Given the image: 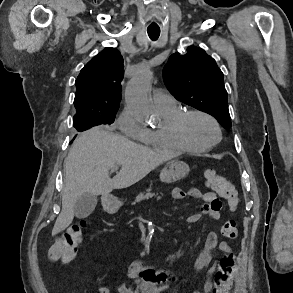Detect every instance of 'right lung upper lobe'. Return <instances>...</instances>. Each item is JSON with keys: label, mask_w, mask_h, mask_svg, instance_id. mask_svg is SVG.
Segmentation results:
<instances>
[{"label": "right lung upper lobe", "mask_w": 293, "mask_h": 293, "mask_svg": "<svg viewBox=\"0 0 293 293\" xmlns=\"http://www.w3.org/2000/svg\"><path fill=\"white\" fill-rule=\"evenodd\" d=\"M123 68V57L115 48L107 47L89 61L75 82L76 110L99 113L117 111Z\"/></svg>", "instance_id": "cb5924a9"}]
</instances>
